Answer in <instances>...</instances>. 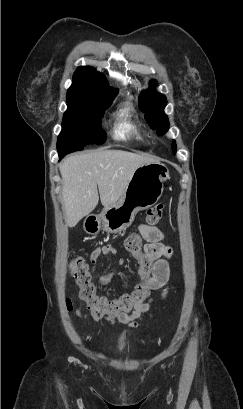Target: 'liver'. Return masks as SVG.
<instances>
[{"label": "liver", "mask_w": 243, "mask_h": 409, "mask_svg": "<svg viewBox=\"0 0 243 409\" xmlns=\"http://www.w3.org/2000/svg\"><path fill=\"white\" fill-rule=\"evenodd\" d=\"M154 159L122 150H95L67 157L59 164L66 225L74 227L98 204L118 202L133 173ZM99 190V195H98Z\"/></svg>", "instance_id": "1"}]
</instances>
